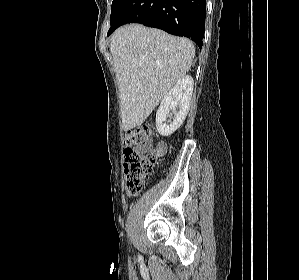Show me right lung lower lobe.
<instances>
[{
  "mask_svg": "<svg viewBox=\"0 0 299 280\" xmlns=\"http://www.w3.org/2000/svg\"><path fill=\"white\" fill-rule=\"evenodd\" d=\"M206 0H126L108 36L126 23H140L192 39L202 48Z\"/></svg>",
  "mask_w": 299,
  "mask_h": 280,
  "instance_id": "obj_1",
  "label": "right lung lower lobe"
}]
</instances>
